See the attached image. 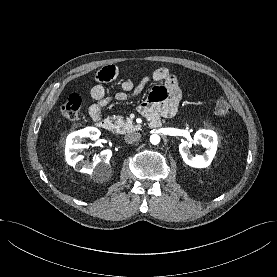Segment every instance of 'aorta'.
I'll return each mask as SVG.
<instances>
[{"label": "aorta", "instance_id": "obj_1", "mask_svg": "<svg viewBox=\"0 0 277 277\" xmlns=\"http://www.w3.org/2000/svg\"><path fill=\"white\" fill-rule=\"evenodd\" d=\"M150 142L153 144V145H157L159 142H160V137L159 135L157 134H153L150 136Z\"/></svg>", "mask_w": 277, "mask_h": 277}]
</instances>
